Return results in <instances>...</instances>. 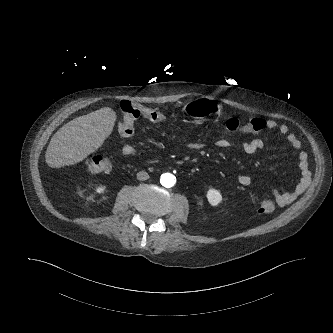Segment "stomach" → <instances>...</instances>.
Returning <instances> with one entry per match:
<instances>
[{
  "mask_svg": "<svg viewBox=\"0 0 333 333\" xmlns=\"http://www.w3.org/2000/svg\"><path fill=\"white\" fill-rule=\"evenodd\" d=\"M220 108L221 106L217 105L209 98H197L189 101L184 106V111L195 119L204 120Z\"/></svg>",
  "mask_w": 333,
  "mask_h": 333,
  "instance_id": "0dacf381",
  "label": "stomach"
}]
</instances>
